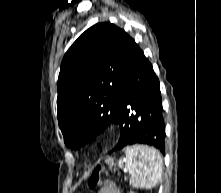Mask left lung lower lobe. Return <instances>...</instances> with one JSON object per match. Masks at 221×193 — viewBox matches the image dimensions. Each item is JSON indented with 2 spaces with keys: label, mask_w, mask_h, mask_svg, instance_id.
<instances>
[{
  "label": "left lung lower lobe",
  "mask_w": 221,
  "mask_h": 193,
  "mask_svg": "<svg viewBox=\"0 0 221 193\" xmlns=\"http://www.w3.org/2000/svg\"><path fill=\"white\" fill-rule=\"evenodd\" d=\"M118 108L117 124L120 125L121 135L113 151L129 145L146 144L165 154V123L159 79L140 48L130 62L122 81ZM148 110L154 112L155 123L144 127L141 121Z\"/></svg>",
  "instance_id": "obj_1"
}]
</instances>
